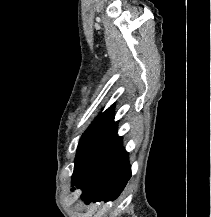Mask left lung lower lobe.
<instances>
[{
    "mask_svg": "<svg viewBox=\"0 0 211 217\" xmlns=\"http://www.w3.org/2000/svg\"><path fill=\"white\" fill-rule=\"evenodd\" d=\"M117 134L93 157L83 172L72 182L82 189L86 204L113 201L125 188L131 177L129 157Z\"/></svg>",
    "mask_w": 211,
    "mask_h": 217,
    "instance_id": "0a47b994",
    "label": "left lung lower lobe"
}]
</instances>
